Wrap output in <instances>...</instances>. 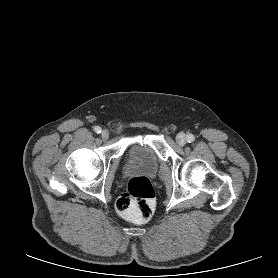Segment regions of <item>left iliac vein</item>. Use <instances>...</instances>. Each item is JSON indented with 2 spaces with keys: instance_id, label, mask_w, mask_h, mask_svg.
<instances>
[{
  "instance_id": "left-iliac-vein-1",
  "label": "left iliac vein",
  "mask_w": 278,
  "mask_h": 278,
  "mask_svg": "<svg viewBox=\"0 0 278 278\" xmlns=\"http://www.w3.org/2000/svg\"><path fill=\"white\" fill-rule=\"evenodd\" d=\"M176 141L180 146H184L186 143V138H185V134L184 133H179L176 136Z\"/></svg>"
}]
</instances>
